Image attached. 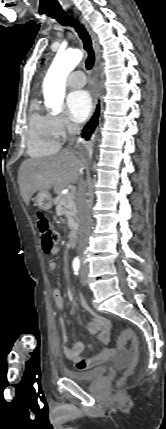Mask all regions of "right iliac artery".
<instances>
[{
    "mask_svg": "<svg viewBox=\"0 0 166 429\" xmlns=\"http://www.w3.org/2000/svg\"><path fill=\"white\" fill-rule=\"evenodd\" d=\"M72 266L75 274L78 275V271L80 268V259L78 257L74 258Z\"/></svg>",
    "mask_w": 166,
    "mask_h": 429,
    "instance_id": "obj_1",
    "label": "right iliac artery"
}]
</instances>
